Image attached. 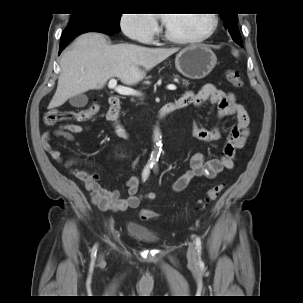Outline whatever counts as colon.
<instances>
[{
    "label": "colon",
    "instance_id": "1",
    "mask_svg": "<svg viewBox=\"0 0 303 303\" xmlns=\"http://www.w3.org/2000/svg\"><path fill=\"white\" fill-rule=\"evenodd\" d=\"M227 80L234 85L235 87H241L243 85L242 78L240 73L237 70L230 69L226 72ZM98 111L97 103L91 104L89 107L75 112L62 113L57 110H48L44 114L43 123L52 127L60 123L61 121H86L92 118L96 112ZM224 188V184L216 185L208 190L203 199H201L198 203L197 209H203L207 204L216 200L222 189ZM157 217V214L151 210L143 209L140 213V218L143 220H152Z\"/></svg>",
    "mask_w": 303,
    "mask_h": 303
}]
</instances>
